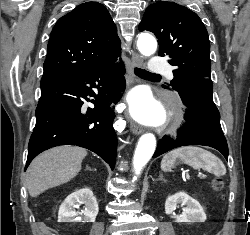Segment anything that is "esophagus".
<instances>
[{
    "label": "esophagus",
    "mask_w": 250,
    "mask_h": 235,
    "mask_svg": "<svg viewBox=\"0 0 250 235\" xmlns=\"http://www.w3.org/2000/svg\"><path fill=\"white\" fill-rule=\"evenodd\" d=\"M142 63H143L142 57L136 53H133L131 58V65L128 69L129 73L133 74L134 67H140L142 66ZM130 127L133 134L139 135L143 132V127L134 121H131Z\"/></svg>",
    "instance_id": "obj_1"
}]
</instances>
